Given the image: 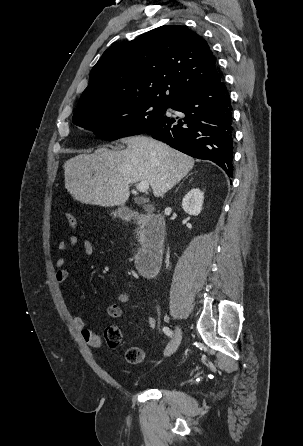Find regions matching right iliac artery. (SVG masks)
<instances>
[{
    "label": "right iliac artery",
    "mask_w": 303,
    "mask_h": 446,
    "mask_svg": "<svg viewBox=\"0 0 303 446\" xmlns=\"http://www.w3.org/2000/svg\"><path fill=\"white\" fill-rule=\"evenodd\" d=\"M163 332L167 335V336H169V337H172V335H173V332H172V330L170 329V328H168V327H163Z\"/></svg>",
    "instance_id": "1"
}]
</instances>
